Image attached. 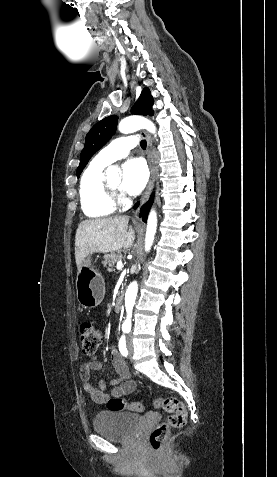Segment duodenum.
Here are the masks:
<instances>
[{"mask_svg": "<svg viewBox=\"0 0 277 477\" xmlns=\"http://www.w3.org/2000/svg\"><path fill=\"white\" fill-rule=\"evenodd\" d=\"M123 308V298L122 296H118L114 303V309L117 313L121 312Z\"/></svg>", "mask_w": 277, "mask_h": 477, "instance_id": "duodenum-1", "label": "duodenum"}]
</instances>
